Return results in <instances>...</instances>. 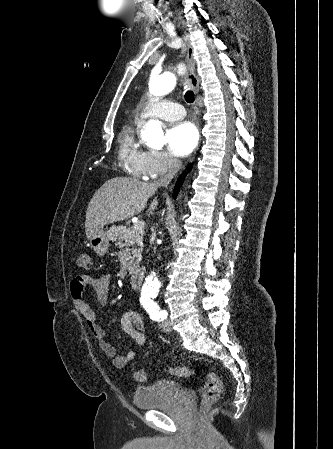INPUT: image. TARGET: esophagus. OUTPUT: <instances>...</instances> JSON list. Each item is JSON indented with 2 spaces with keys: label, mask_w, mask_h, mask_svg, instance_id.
Masks as SVG:
<instances>
[{
  "label": "esophagus",
  "mask_w": 333,
  "mask_h": 449,
  "mask_svg": "<svg viewBox=\"0 0 333 449\" xmlns=\"http://www.w3.org/2000/svg\"><path fill=\"white\" fill-rule=\"evenodd\" d=\"M184 41L186 44V61L188 66V73H187V83L191 86L195 94L199 93V78L196 74L195 69V60L193 57V47L190 43L188 35H184Z\"/></svg>",
  "instance_id": "1"
}]
</instances>
